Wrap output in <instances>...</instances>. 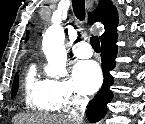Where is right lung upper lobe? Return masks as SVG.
I'll return each instance as SVG.
<instances>
[{
  "mask_svg": "<svg viewBox=\"0 0 145 124\" xmlns=\"http://www.w3.org/2000/svg\"><path fill=\"white\" fill-rule=\"evenodd\" d=\"M94 22H101L104 25L105 32L100 36V39L117 31L118 14L111 0H100L98 7L89 14V23L93 24Z\"/></svg>",
  "mask_w": 145,
  "mask_h": 124,
  "instance_id": "right-lung-upper-lobe-1",
  "label": "right lung upper lobe"
}]
</instances>
